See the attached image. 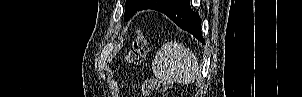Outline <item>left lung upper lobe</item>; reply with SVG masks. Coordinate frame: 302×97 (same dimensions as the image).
<instances>
[{
	"label": "left lung upper lobe",
	"instance_id": "left-lung-upper-lobe-1",
	"mask_svg": "<svg viewBox=\"0 0 302 97\" xmlns=\"http://www.w3.org/2000/svg\"><path fill=\"white\" fill-rule=\"evenodd\" d=\"M148 0H126L125 21L129 20L137 11L146 7Z\"/></svg>",
	"mask_w": 302,
	"mask_h": 97
}]
</instances>
